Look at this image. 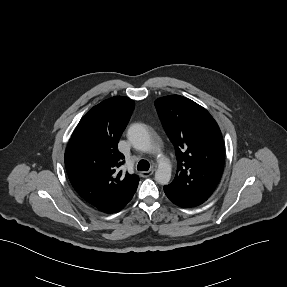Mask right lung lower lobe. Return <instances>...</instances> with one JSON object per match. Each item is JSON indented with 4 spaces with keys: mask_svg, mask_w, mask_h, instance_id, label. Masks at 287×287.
I'll list each match as a JSON object with an SVG mask.
<instances>
[{
    "mask_svg": "<svg viewBox=\"0 0 287 287\" xmlns=\"http://www.w3.org/2000/svg\"><path fill=\"white\" fill-rule=\"evenodd\" d=\"M135 190H132L128 193L115 197L105 203H102L98 206H94L97 210L104 213H116L122 210L126 204L132 199Z\"/></svg>",
    "mask_w": 287,
    "mask_h": 287,
    "instance_id": "obj_1",
    "label": "right lung lower lobe"
}]
</instances>
